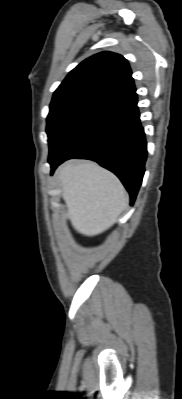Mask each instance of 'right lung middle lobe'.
Returning <instances> with one entry per match:
<instances>
[{
  "label": "right lung middle lobe",
  "instance_id": "1",
  "mask_svg": "<svg viewBox=\"0 0 182 399\" xmlns=\"http://www.w3.org/2000/svg\"><path fill=\"white\" fill-rule=\"evenodd\" d=\"M106 102L87 95L53 97L47 117V134L51 148L75 123Z\"/></svg>",
  "mask_w": 182,
  "mask_h": 399
}]
</instances>
